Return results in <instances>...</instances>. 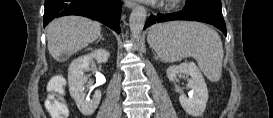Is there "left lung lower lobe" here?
<instances>
[{"label":"left lung lower lobe","mask_w":273,"mask_h":118,"mask_svg":"<svg viewBox=\"0 0 273 118\" xmlns=\"http://www.w3.org/2000/svg\"><path fill=\"white\" fill-rule=\"evenodd\" d=\"M174 20H192L214 25L226 35V25L222 12L204 5L191 4L186 1V6L180 12L170 14L151 15L147 20L144 29L155 23Z\"/></svg>","instance_id":"left-lung-lower-lobe-1"}]
</instances>
